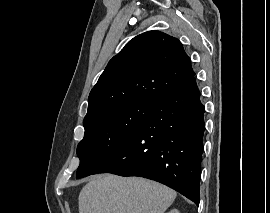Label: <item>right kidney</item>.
Masks as SVG:
<instances>
[{
	"label": "right kidney",
	"mask_w": 270,
	"mask_h": 213,
	"mask_svg": "<svg viewBox=\"0 0 270 213\" xmlns=\"http://www.w3.org/2000/svg\"><path fill=\"white\" fill-rule=\"evenodd\" d=\"M168 213H180L177 209H173L171 211H169Z\"/></svg>",
	"instance_id": "ca27d5eb"
}]
</instances>
